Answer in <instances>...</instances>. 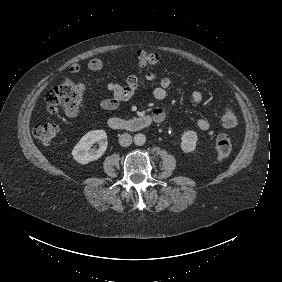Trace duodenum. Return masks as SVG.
Here are the masks:
<instances>
[{"instance_id":"410a0bca","label":"duodenum","mask_w":282,"mask_h":282,"mask_svg":"<svg viewBox=\"0 0 282 282\" xmlns=\"http://www.w3.org/2000/svg\"><path fill=\"white\" fill-rule=\"evenodd\" d=\"M161 118L155 117V114H145L138 117H134L128 120H123L119 118H110L108 120L109 127L113 129H128V130H138L152 125L154 122H160L164 119V114Z\"/></svg>"}]
</instances>
